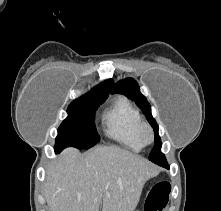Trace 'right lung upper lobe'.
<instances>
[{
  "mask_svg": "<svg viewBox=\"0 0 221 211\" xmlns=\"http://www.w3.org/2000/svg\"><path fill=\"white\" fill-rule=\"evenodd\" d=\"M112 90L113 81L112 79H109L94 87L90 92H88L81 98H96L101 96H108L109 93H112Z\"/></svg>",
  "mask_w": 221,
  "mask_h": 211,
  "instance_id": "right-lung-upper-lobe-1",
  "label": "right lung upper lobe"
}]
</instances>
